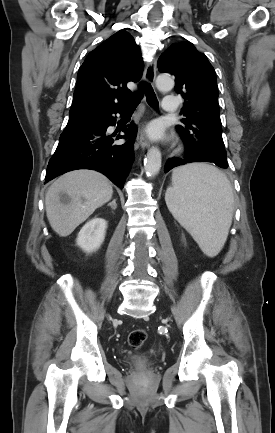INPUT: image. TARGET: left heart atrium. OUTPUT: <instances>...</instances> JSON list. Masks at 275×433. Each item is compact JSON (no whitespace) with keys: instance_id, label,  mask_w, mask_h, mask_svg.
Masks as SVG:
<instances>
[{"instance_id":"39dd6f15","label":"left heart atrium","mask_w":275,"mask_h":433,"mask_svg":"<svg viewBox=\"0 0 275 433\" xmlns=\"http://www.w3.org/2000/svg\"><path fill=\"white\" fill-rule=\"evenodd\" d=\"M148 134L152 138H159L161 136V129H160V127L158 125L152 124L148 128Z\"/></svg>"}]
</instances>
